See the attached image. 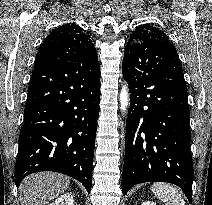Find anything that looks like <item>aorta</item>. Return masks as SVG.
Returning a JSON list of instances; mask_svg holds the SVG:
<instances>
[{"label": "aorta", "instance_id": "aorta-1", "mask_svg": "<svg viewBox=\"0 0 212 205\" xmlns=\"http://www.w3.org/2000/svg\"><path fill=\"white\" fill-rule=\"evenodd\" d=\"M129 102L130 98H129L128 86L124 84L120 92V109L122 112L125 113L127 111Z\"/></svg>", "mask_w": 212, "mask_h": 205}]
</instances>
